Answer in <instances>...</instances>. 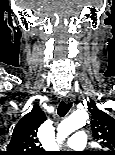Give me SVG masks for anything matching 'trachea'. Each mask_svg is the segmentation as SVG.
Instances as JSON below:
<instances>
[{
  "mask_svg": "<svg viewBox=\"0 0 115 155\" xmlns=\"http://www.w3.org/2000/svg\"><path fill=\"white\" fill-rule=\"evenodd\" d=\"M71 106H72V103H66L62 101L58 107V115L60 117H64L69 111V109L71 108Z\"/></svg>",
  "mask_w": 115,
  "mask_h": 155,
  "instance_id": "3493384b",
  "label": "trachea"
}]
</instances>
